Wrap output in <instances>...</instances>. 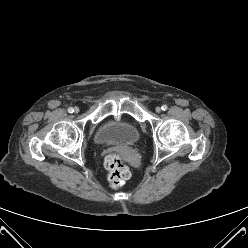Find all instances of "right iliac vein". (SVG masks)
I'll list each match as a JSON object with an SVG mask.
<instances>
[{
	"instance_id": "1",
	"label": "right iliac vein",
	"mask_w": 248,
	"mask_h": 248,
	"mask_svg": "<svg viewBox=\"0 0 248 248\" xmlns=\"http://www.w3.org/2000/svg\"><path fill=\"white\" fill-rule=\"evenodd\" d=\"M75 113H79V108L78 107H75Z\"/></svg>"
}]
</instances>
